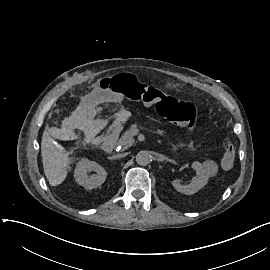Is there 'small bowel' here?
Instances as JSON below:
<instances>
[{
	"label": "small bowel",
	"instance_id": "small-bowel-1",
	"mask_svg": "<svg viewBox=\"0 0 270 270\" xmlns=\"http://www.w3.org/2000/svg\"><path fill=\"white\" fill-rule=\"evenodd\" d=\"M98 95L105 102L119 103L122 101V96L116 93L103 91V92H98Z\"/></svg>",
	"mask_w": 270,
	"mask_h": 270
}]
</instances>
